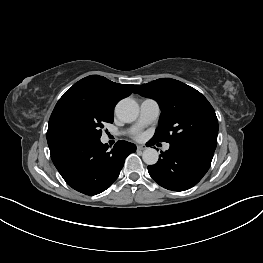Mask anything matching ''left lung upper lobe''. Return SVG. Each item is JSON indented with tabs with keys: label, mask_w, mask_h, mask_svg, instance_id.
Here are the masks:
<instances>
[{
	"label": "left lung upper lobe",
	"mask_w": 263,
	"mask_h": 263,
	"mask_svg": "<svg viewBox=\"0 0 263 263\" xmlns=\"http://www.w3.org/2000/svg\"><path fill=\"white\" fill-rule=\"evenodd\" d=\"M136 92L156 100L162 111L159 127L151 140L216 149L218 120L213 107L200 92L170 78L136 86Z\"/></svg>",
	"instance_id": "1"
}]
</instances>
